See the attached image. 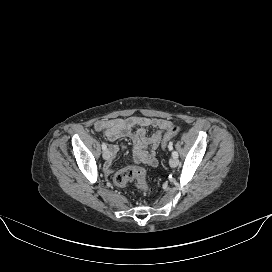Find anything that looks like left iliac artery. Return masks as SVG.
I'll use <instances>...</instances> for the list:
<instances>
[{"label":"left iliac artery","instance_id":"left-iliac-artery-1","mask_svg":"<svg viewBox=\"0 0 272 272\" xmlns=\"http://www.w3.org/2000/svg\"><path fill=\"white\" fill-rule=\"evenodd\" d=\"M170 148H171V146H169ZM172 156L174 157V158H177L178 157V153L176 152V151H173L172 152Z\"/></svg>","mask_w":272,"mask_h":272}]
</instances>
